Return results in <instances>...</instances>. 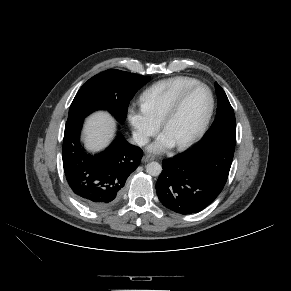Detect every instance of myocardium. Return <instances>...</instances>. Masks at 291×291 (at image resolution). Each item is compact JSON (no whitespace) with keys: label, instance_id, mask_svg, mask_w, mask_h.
<instances>
[{"label":"myocardium","instance_id":"obj_1","mask_svg":"<svg viewBox=\"0 0 291 291\" xmlns=\"http://www.w3.org/2000/svg\"><path fill=\"white\" fill-rule=\"evenodd\" d=\"M197 88H204L207 90V92L209 94V98H210L209 108H208V111H207L202 123L200 124L198 130L190 138H188L187 140L176 145L178 150H186V149L190 148L195 143H197L201 139V137L204 135V133L209 125V122L211 120V117L213 115L214 108H215V99H214V94H213L211 88L202 82L195 83V84L185 88L177 96V98L174 100V102L168 108V110L166 111V113L164 114V116L161 120V128L164 131L167 124L169 123V121L176 115V113L181 108V106L184 103L187 96Z\"/></svg>","mask_w":291,"mask_h":291}]
</instances>
